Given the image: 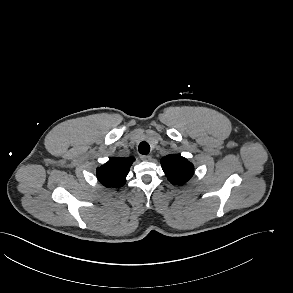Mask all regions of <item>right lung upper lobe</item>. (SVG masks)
<instances>
[{"label":"right lung upper lobe","mask_w":293,"mask_h":293,"mask_svg":"<svg viewBox=\"0 0 293 293\" xmlns=\"http://www.w3.org/2000/svg\"><path fill=\"white\" fill-rule=\"evenodd\" d=\"M133 157H114L97 169L98 180L106 187L119 188L126 183V176L134 162Z\"/></svg>","instance_id":"1"}]
</instances>
